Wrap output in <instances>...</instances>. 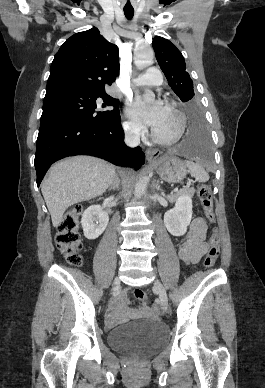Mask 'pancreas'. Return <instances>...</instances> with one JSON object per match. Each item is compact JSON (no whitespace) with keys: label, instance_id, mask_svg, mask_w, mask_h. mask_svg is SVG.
<instances>
[{"label":"pancreas","instance_id":"1","mask_svg":"<svg viewBox=\"0 0 265 388\" xmlns=\"http://www.w3.org/2000/svg\"><path fill=\"white\" fill-rule=\"evenodd\" d=\"M182 194H186V196H194L195 190L194 188H183V190H179V192H176V194L168 196L169 202H174L175 198H178V196H182Z\"/></svg>","mask_w":265,"mask_h":388}]
</instances>
